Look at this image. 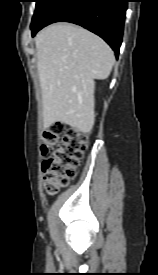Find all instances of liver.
<instances>
[{
    "label": "liver",
    "mask_w": 158,
    "mask_h": 275,
    "mask_svg": "<svg viewBox=\"0 0 158 275\" xmlns=\"http://www.w3.org/2000/svg\"><path fill=\"white\" fill-rule=\"evenodd\" d=\"M42 91L43 127L61 122L83 133L94 125V79H106L114 65L112 49L97 35L58 23L35 37Z\"/></svg>",
    "instance_id": "obj_1"
}]
</instances>
